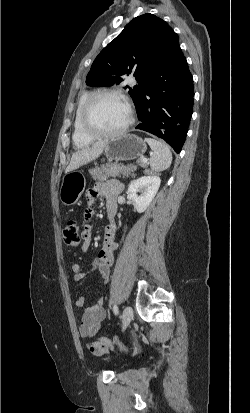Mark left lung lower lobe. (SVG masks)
Masks as SVG:
<instances>
[{
	"mask_svg": "<svg viewBox=\"0 0 250 413\" xmlns=\"http://www.w3.org/2000/svg\"><path fill=\"white\" fill-rule=\"evenodd\" d=\"M193 96V77L178 37H174L166 45L162 69L147 80L134 101L141 121L136 129L164 139L180 153L192 116Z\"/></svg>",
	"mask_w": 250,
	"mask_h": 413,
	"instance_id": "1",
	"label": "left lung lower lobe"
}]
</instances>
